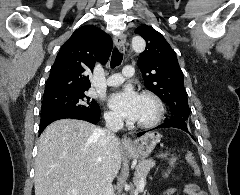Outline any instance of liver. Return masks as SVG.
<instances>
[{
  "label": "liver",
  "instance_id": "obj_1",
  "mask_svg": "<svg viewBox=\"0 0 240 195\" xmlns=\"http://www.w3.org/2000/svg\"><path fill=\"white\" fill-rule=\"evenodd\" d=\"M96 129L82 119H57L47 125L38 143L35 195H98L102 181H113L123 147L118 139L101 149Z\"/></svg>",
  "mask_w": 240,
  "mask_h": 195
}]
</instances>
